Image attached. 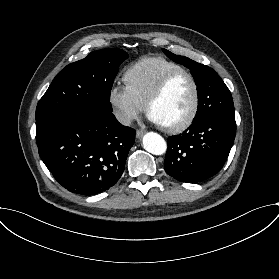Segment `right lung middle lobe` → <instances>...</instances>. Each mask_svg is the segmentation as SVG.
Returning <instances> with one entry per match:
<instances>
[{
	"mask_svg": "<svg viewBox=\"0 0 279 279\" xmlns=\"http://www.w3.org/2000/svg\"><path fill=\"white\" fill-rule=\"evenodd\" d=\"M127 58L128 54L121 49H103L69 64L56 75L38 102L36 118L50 109L76 105L112 113V84L119 65Z\"/></svg>",
	"mask_w": 279,
	"mask_h": 279,
	"instance_id": "1",
	"label": "right lung middle lobe"
}]
</instances>
